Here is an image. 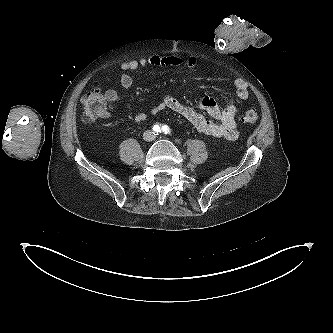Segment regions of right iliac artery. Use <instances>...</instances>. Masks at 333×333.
Instances as JSON below:
<instances>
[{
    "instance_id": "right-iliac-artery-1",
    "label": "right iliac artery",
    "mask_w": 333,
    "mask_h": 333,
    "mask_svg": "<svg viewBox=\"0 0 333 333\" xmlns=\"http://www.w3.org/2000/svg\"><path fill=\"white\" fill-rule=\"evenodd\" d=\"M153 131H154L155 133H159V132H160V126H159V125H154V127H153Z\"/></svg>"
}]
</instances>
